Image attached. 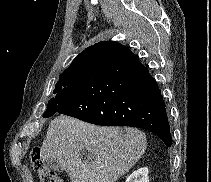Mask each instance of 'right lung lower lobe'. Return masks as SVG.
Returning a JSON list of instances; mask_svg holds the SVG:
<instances>
[{"label":"right lung lower lobe","mask_w":211,"mask_h":182,"mask_svg":"<svg viewBox=\"0 0 211 182\" xmlns=\"http://www.w3.org/2000/svg\"><path fill=\"white\" fill-rule=\"evenodd\" d=\"M56 112L96 125L147 129L168 147L172 144L159 87L138 58L117 42L93 45L75 89L56 101Z\"/></svg>","instance_id":"obj_1"}]
</instances>
